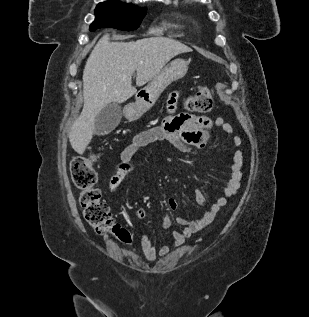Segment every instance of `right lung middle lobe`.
<instances>
[{"mask_svg":"<svg viewBox=\"0 0 309 317\" xmlns=\"http://www.w3.org/2000/svg\"><path fill=\"white\" fill-rule=\"evenodd\" d=\"M146 14V9H138L117 0L99 3L95 9V20L90 30L112 27L124 31H132L139 27Z\"/></svg>","mask_w":309,"mask_h":317,"instance_id":"dd1d6c3e","label":"right lung middle lobe"}]
</instances>
